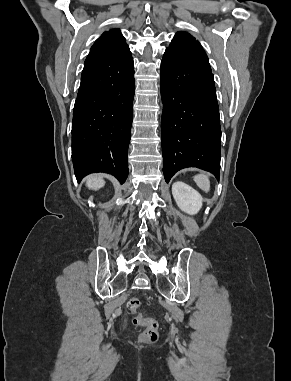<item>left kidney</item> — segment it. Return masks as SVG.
Segmentation results:
<instances>
[{
  "instance_id": "5707ae66",
  "label": "left kidney",
  "mask_w": 291,
  "mask_h": 381,
  "mask_svg": "<svg viewBox=\"0 0 291 381\" xmlns=\"http://www.w3.org/2000/svg\"><path fill=\"white\" fill-rule=\"evenodd\" d=\"M172 194L178 207L190 214H196L202 207V196L192 187L181 181L172 185Z\"/></svg>"
}]
</instances>
